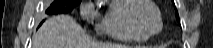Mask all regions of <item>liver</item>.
<instances>
[{
    "label": "liver",
    "instance_id": "liver-1",
    "mask_svg": "<svg viewBox=\"0 0 213 48\" xmlns=\"http://www.w3.org/2000/svg\"><path fill=\"white\" fill-rule=\"evenodd\" d=\"M32 40L33 48H131L92 40L72 17L66 15L46 20Z\"/></svg>",
    "mask_w": 213,
    "mask_h": 48
}]
</instances>
